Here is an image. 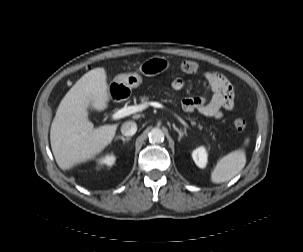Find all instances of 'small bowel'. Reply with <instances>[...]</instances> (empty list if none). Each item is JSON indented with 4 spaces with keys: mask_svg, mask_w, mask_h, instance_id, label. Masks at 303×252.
<instances>
[{
    "mask_svg": "<svg viewBox=\"0 0 303 252\" xmlns=\"http://www.w3.org/2000/svg\"><path fill=\"white\" fill-rule=\"evenodd\" d=\"M203 82L211 97H186L182 100V108L185 112L197 111L203 116L221 118L224 111L234 108V100L237 94L233 84L221 74L212 71L203 73ZM186 85L183 78H176L172 82V88L176 91L182 90Z\"/></svg>",
    "mask_w": 303,
    "mask_h": 252,
    "instance_id": "small-bowel-1",
    "label": "small bowel"
}]
</instances>
